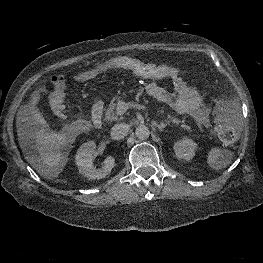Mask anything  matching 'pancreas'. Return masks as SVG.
<instances>
[{
	"instance_id": "cf45deb5",
	"label": "pancreas",
	"mask_w": 263,
	"mask_h": 263,
	"mask_svg": "<svg viewBox=\"0 0 263 263\" xmlns=\"http://www.w3.org/2000/svg\"><path fill=\"white\" fill-rule=\"evenodd\" d=\"M119 101H120V96L116 95V96H114L112 98L111 103L109 104V106H108V108L106 110V113H105V119L106 120H111L112 121V120H117L118 119V114H117V112L115 110L117 108V104H118ZM145 102H147V101L145 100ZM168 118L172 122H174L176 124L180 123V120H178L175 117H171L170 115H168ZM181 127L186 129V130H190V127L185 125V124H182Z\"/></svg>"
}]
</instances>
